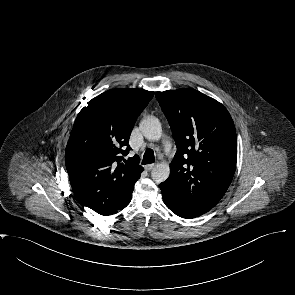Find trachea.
Wrapping results in <instances>:
<instances>
[{
    "label": "trachea",
    "mask_w": 295,
    "mask_h": 295,
    "mask_svg": "<svg viewBox=\"0 0 295 295\" xmlns=\"http://www.w3.org/2000/svg\"><path fill=\"white\" fill-rule=\"evenodd\" d=\"M155 160L154 152L152 149H147L144 153L142 164H150Z\"/></svg>",
    "instance_id": "3493384b"
}]
</instances>
